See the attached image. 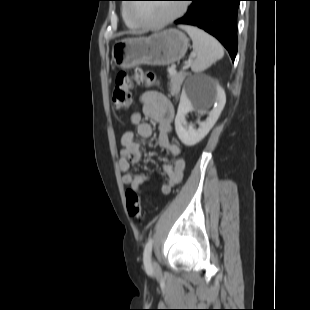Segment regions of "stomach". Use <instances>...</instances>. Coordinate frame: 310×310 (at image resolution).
Here are the masks:
<instances>
[{
    "instance_id": "obj_1",
    "label": "stomach",
    "mask_w": 310,
    "mask_h": 310,
    "mask_svg": "<svg viewBox=\"0 0 310 310\" xmlns=\"http://www.w3.org/2000/svg\"><path fill=\"white\" fill-rule=\"evenodd\" d=\"M188 46L189 39L183 32L168 29L149 37L116 41L112 47V59L123 69L139 65L167 66L180 60Z\"/></svg>"
}]
</instances>
